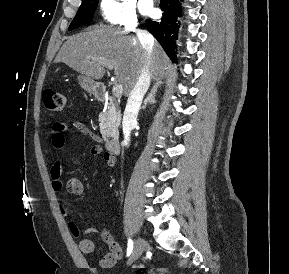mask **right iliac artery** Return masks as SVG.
Listing matches in <instances>:
<instances>
[{"mask_svg": "<svg viewBox=\"0 0 289 274\" xmlns=\"http://www.w3.org/2000/svg\"><path fill=\"white\" fill-rule=\"evenodd\" d=\"M132 250H133V241L131 239H128L127 256H129L132 253Z\"/></svg>", "mask_w": 289, "mask_h": 274, "instance_id": "obj_1", "label": "right iliac artery"}]
</instances>
